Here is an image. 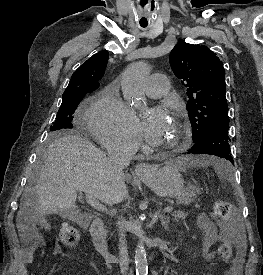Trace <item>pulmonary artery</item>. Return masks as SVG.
<instances>
[{
  "label": "pulmonary artery",
  "instance_id": "pulmonary-artery-1",
  "mask_svg": "<svg viewBox=\"0 0 263 275\" xmlns=\"http://www.w3.org/2000/svg\"><path fill=\"white\" fill-rule=\"evenodd\" d=\"M169 84L162 74H152L145 86V93L150 98H160L168 93Z\"/></svg>",
  "mask_w": 263,
  "mask_h": 275
}]
</instances>
